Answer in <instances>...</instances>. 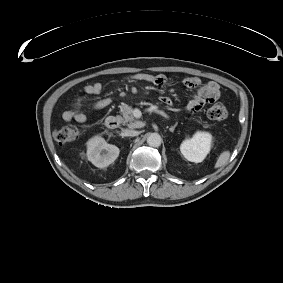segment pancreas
Segmentation results:
<instances>
[{"instance_id":"1","label":"pancreas","mask_w":283,"mask_h":283,"mask_svg":"<svg viewBox=\"0 0 283 283\" xmlns=\"http://www.w3.org/2000/svg\"><path fill=\"white\" fill-rule=\"evenodd\" d=\"M122 112V121L130 128H137L140 126L139 121H137L133 115V108L131 106H124L121 110Z\"/></svg>"}]
</instances>
